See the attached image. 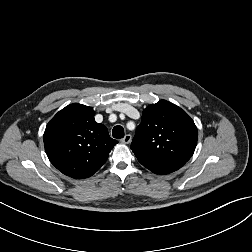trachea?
Returning a JSON list of instances; mask_svg holds the SVG:
<instances>
[{"mask_svg": "<svg viewBox=\"0 0 252 252\" xmlns=\"http://www.w3.org/2000/svg\"><path fill=\"white\" fill-rule=\"evenodd\" d=\"M112 135L116 139H121L124 137V129L122 126L117 125L112 130Z\"/></svg>", "mask_w": 252, "mask_h": 252, "instance_id": "3493384b", "label": "trachea"}]
</instances>
